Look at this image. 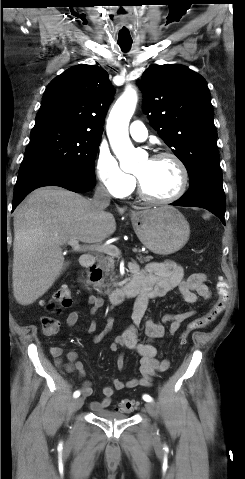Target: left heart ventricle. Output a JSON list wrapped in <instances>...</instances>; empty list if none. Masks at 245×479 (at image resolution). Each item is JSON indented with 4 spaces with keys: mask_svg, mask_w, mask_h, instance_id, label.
<instances>
[{
    "mask_svg": "<svg viewBox=\"0 0 245 479\" xmlns=\"http://www.w3.org/2000/svg\"><path fill=\"white\" fill-rule=\"evenodd\" d=\"M137 175L145 191L157 198L172 195L178 188L180 174L176 164L169 158L145 159L138 167Z\"/></svg>",
    "mask_w": 245,
    "mask_h": 479,
    "instance_id": "1",
    "label": "left heart ventricle"
}]
</instances>
